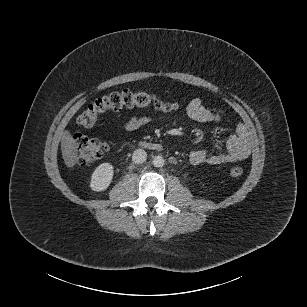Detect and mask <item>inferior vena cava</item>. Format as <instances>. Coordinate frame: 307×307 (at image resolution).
<instances>
[{
  "label": "inferior vena cava",
  "instance_id": "obj_1",
  "mask_svg": "<svg viewBox=\"0 0 307 307\" xmlns=\"http://www.w3.org/2000/svg\"><path fill=\"white\" fill-rule=\"evenodd\" d=\"M147 159V153L145 150L143 149H137L133 152V155H132V161L134 163H143L145 162Z\"/></svg>",
  "mask_w": 307,
  "mask_h": 307
}]
</instances>
